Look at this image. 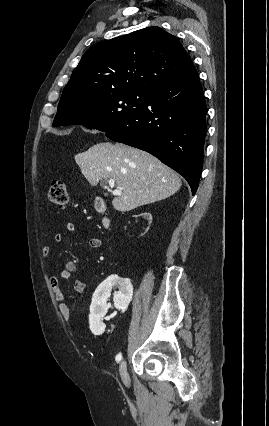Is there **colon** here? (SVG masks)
<instances>
[{
	"label": "colon",
	"mask_w": 269,
	"mask_h": 426,
	"mask_svg": "<svg viewBox=\"0 0 269 426\" xmlns=\"http://www.w3.org/2000/svg\"><path fill=\"white\" fill-rule=\"evenodd\" d=\"M49 200L51 203L59 207H64L67 204V190L63 181L52 182L49 189Z\"/></svg>",
	"instance_id": "1"
}]
</instances>
